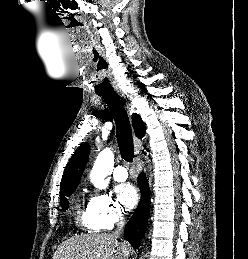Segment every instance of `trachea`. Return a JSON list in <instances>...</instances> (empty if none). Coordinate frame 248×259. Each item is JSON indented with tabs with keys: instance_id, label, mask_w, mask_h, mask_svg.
<instances>
[{
	"instance_id": "1",
	"label": "trachea",
	"mask_w": 248,
	"mask_h": 259,
	"mask_svg": "<svg viewBox=\"0 0 248 259\" xmlns=\"http://www.w3.org/2000/svg\"><path fill=\"white\" fill-rule=\"evenodd\" d=\"M107 102L111 114L116 123V137L119 145L121 157L128 163L133 161L134 147L132 130L127 113L122 106L119 96L115 92L98 94Z\"/></svg>"
}]
</instances>
